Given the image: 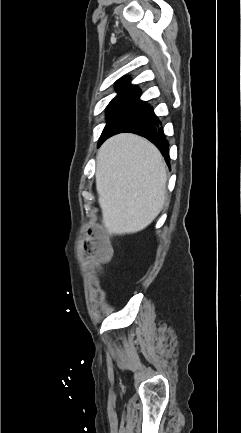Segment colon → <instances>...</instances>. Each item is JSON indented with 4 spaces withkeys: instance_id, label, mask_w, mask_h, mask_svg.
Instances as JSON below:
<instances>
[{
    "instance_id": "colon-1",
    "label": "colon",
    "mask_w": 241,
    "mask_h": 433,
    "mask_svg": "<svg viewBox=\"0 0 241 433\" xmlns=\"http://www.w3.org/2000/svg\"><path fill=\"white\" fill-rule=\"evenodd\" d=\"M88 251L97 263L107 261L111 256V248L108 241L99 233L96 234L95 240L90 243Z\"/></svg>"
}]
</instances>
